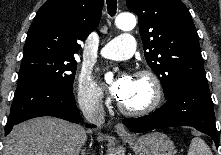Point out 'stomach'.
Returning <instances> with one entry per match:
<instances>
[{
	"instance_id": "stomach-1",
	"label": "stomach",
	"mask_w": 221,
	"mask_h": 155,
	"mask_svg": "<svg viewBox=\"0 0 221 155\" xmlns=\"http://www.w3.org/2000/svg\"><path fill=\"white\" fill-rule=\"evenodd\" d=\"M136 155H175L174 143L160 132H151L138 138H125Z\"/></svg>"
}]
</instances>
